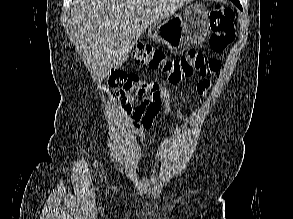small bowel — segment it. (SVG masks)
Wrapping results in <instances>:
<instances>
[{
  "label": "small bowel",
  "instance_id": "obj_1",
  "mask_svg": "<svg viewBox=\"0 0 293 219\" xmlns=\"http://www.w3.org/2000/svg\"><path fill=\"white\" fill-rule=\"evenodd\" d=\"M208 85V81L202 88L198 85V92L204 94ZM137 95L143 97L138 104L135 106L131 104L125 106V111L129 115L134 128L151 129L154 126L155 115L162 105L164 107V116L169 114L173 98L169 90L161 86L160 83L156 81H143L137 91ZM178 116L181 117L180 112Z\"/></svg>",
  "mask_w": 293,
  "mask_h": 219
}]
</instances>
